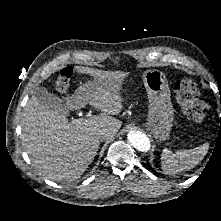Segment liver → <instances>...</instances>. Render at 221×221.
Returning <instances> with one entry per match:
<instances>
[{"instance_id":"1","label":"liver","mask_w":221,"mask_h":221,"mask_svg":"<svg viewBox=\"0 0 221 221\" xmlns=\"http://www.w3.org/2000/svg\"><path fill=\"white\" fill-rule=\"evenodd\" d=\"M81 73L95 80L79 87L67 100V109L77 110L86 104L101 110L98 116L68 122L65 114L46 108L33 95L22 115L21 140L34 167L53 181H73L79 178L94 160L100 145L101 132L110 139L121 128V121L112 117L123 108L121 85L128 73L108 72L82 67Z\"/></svg>"}]
</instances>
